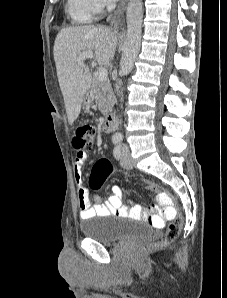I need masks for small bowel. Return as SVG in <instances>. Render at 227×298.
<instances>
[{
    "label": "small bowel",
    "mask_w": 227,
    "mask_h": 298,
    "mask_svg": "<svg viewBox=\"0 0 227 298\" xmlns=\"http://www.w3.org/2000/svg\"><path fill=\"white\" fill-rule=\"evenodd\" d=\"M87 161L85 150H77L74 157V179L78 186L79 216L86 220L95 216H128L147 218L148 210L140 205L131 208L123 205V191L120 186L112 187V194L103 203L99 196L90 197L88 189L83 185V168Z\"/></svg>",
    "instance_id": "small-bowel-1"
}]
</instances>
